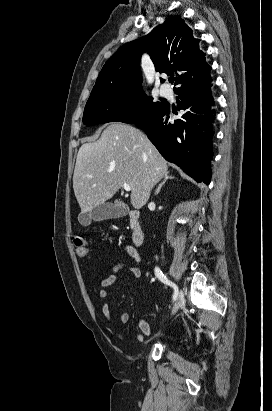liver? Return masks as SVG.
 <instances>
[{"mask_svg":"<svg viewBox=\"0 0 272 411\" xmlns=\"http://www.w3.org/2000/svg\"><path fill=\"white\" fill-rule=\"evenodd\" d=\"M167 172L166 160L140 130L114 123L97 141L80 147L73 175L74 194L81 213H87L112 198L126 183L132 188V206L140 209Z\"/></svg>","mask_w":272,"mask_h":411,"instance_id":"1","label":"liver"}]
</instances>
